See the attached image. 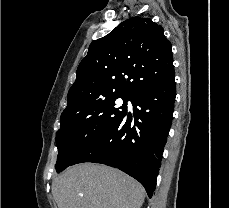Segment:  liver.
I'll return each mask as SVG.
<instances>
[{"instance_id":"liver-1","label":"liver","mask_w":229,"mask_h":208,"mask_svg":"<svg viewBox=\"0 0 229 208\" xmlns=\"http://www.w3.org/2000/svg\"><path fill=\"white\" fill-rule=\"evenodd\" d=\"M58 208H141L145 190L119 170L97 164H76L54 178Z\"/></svg>"}]
</instances>
